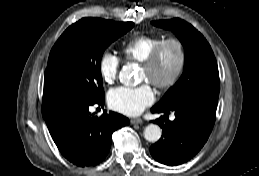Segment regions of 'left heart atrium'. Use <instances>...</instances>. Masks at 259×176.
<instances>
[{
    "label": "left heart atrium",
    "mask_w": 259,
    "mask_h": 176,
    "mask_svg": "<svg viewBox=\"0 0 259 176\" xmlns=\"http://www.w3.org/2000/svg\"><path fill=\"white\" fill-rule=\"evenodd\" d=\"M109 106L122 114L135 116L154 102L155 95L150 84L135 87L119 86L108 93Z\"/></svg>",
    "instance_id": "39dd6f15"
}]
</instances>
